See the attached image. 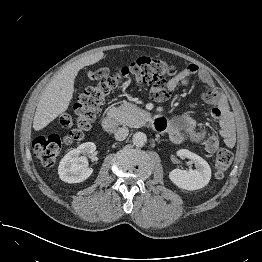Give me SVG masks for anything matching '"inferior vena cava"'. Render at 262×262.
Segmentation results:
<instances>
[{
  "mask_svg": "<svg viewBox=\"0 0 262 262\" xmlns=\"http://www.w3.org/2000/svg\"><path fill=\"white\" fill-rule=\"evenodd\" d=\"M128 134L129 130L127 127H120L115 131L114 137L116 140L122 141L128 136Z\"/></svg>",
  "mask_w": 262,
  "mask_h": 262,
  "instance_id": "inferior-vena-cava-1",
  "label": "inferior vena cava"
}]
</instances>
